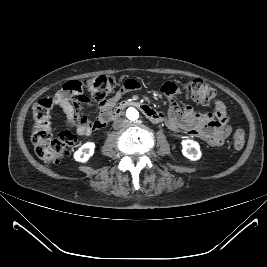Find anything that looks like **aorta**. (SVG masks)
<instances>
[{
    "label": "aorta",
    "mask_w": 267,
    "mask_h": 267,
    "mask_svg": "<svg viewBox=\"0 0 267 267\" xmlns=\"http://www.w3.org/2000/svg\"><path fill=\"white\" fill-rule=\"evenodd\" d=\"M126 117L132 122L137 121L140 117L139 110L135 107H129L126 110Z\"/></svg>",
    "instance_id": "762f6f07"
}]
</instances>
